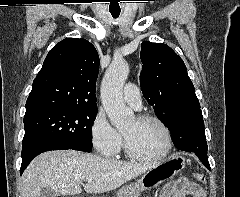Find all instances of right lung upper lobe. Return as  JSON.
<instances>
[{"label":"right lung upper lobe","mask_w":240,"mask_h":197,"mask_svg":"<svg viewBox=\"0 0 240 197\" xmlns=\"http://www.w3.org/2000/svg\"><path fill=\"white\" fill-rule=\"evenodd\" d=\"M99 63L95 47L85 39L57 43L33 81L26 112L54 106L97 108Z\"/></svg>","instance_id":"obj_1"}]
</instances>
